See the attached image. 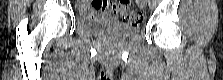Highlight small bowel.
Returning <instances> with one entry per match:
<instances>
[{
    "label": "small bowel",
    "instance_id": "obj_1",
    "mask_svg": "<svg viewBox=\"0 0 223 80\" xmlns=\"http://www.w3.org/2000/svg\"><path fill=\"white\" fill-rule=\"evenodd\" d=\"M82 13L89 16H104L115 18L120 15L118 3L110 5L108 2H93L92 4L84 3L81 6Z\"/></svg>",
    "mask_w": 223,
    "mask_h": 80
}]
</instances>
